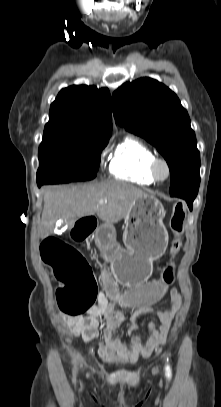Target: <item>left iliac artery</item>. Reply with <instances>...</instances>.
<instances>
[{
  "mask_svg": "<svg viewBox=\"0 0 221 407\" xmlns=\"http://www.w3.org/2000/svg\"><path fill=\"white\" fill-rule=\"evenodd\" d=\"M167 371H168V372L170 371V368H169V367H167Z\"/></svg>",
  "mask_w": 221,
  "mask_h": 407,
  "instance_id": "44dca946",
  "label": "left iliac artery"
}]
</instances>
